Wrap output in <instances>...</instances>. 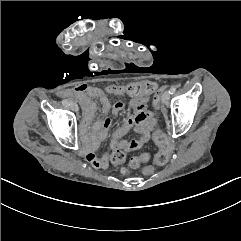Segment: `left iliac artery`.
I'll list each match as a JSON object with an SVG mask.
<instances>
[{
	"label": "left iliac artery",
	"instance_id": "obj_1",
	"mask_svg": "<svg viewBox=\"0 0 241 241\" xmlns=\"http://www.w3.org/2000/svg\"><path fill=\"white\" fill-rule=\"evenodd\" d=\"M175 91H176V88H175V87H171V88L169 89V93H170V94H173Z\"/></svg>",
	"mask_w": 241,
	"mask_h": 241
}]
</instances>
